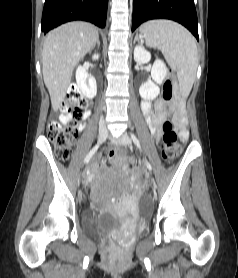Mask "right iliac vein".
<instances>
[{"label":"right iliac vein","instance_id":"1","mask_svg":"<svg viewBox=\"0 0 238 278\" xmlns=\"http://www.w3.org/2000/svg\"><path fill=\"white\" fill-rule=\"evenodd\" d=\"M107 135H108L107 128L105 126H101L99 128V132H98V144L103 143L106 140ZM80 178H81V175H78V177L76 179L77 189H80Z\"/></svg>","mask_w":238,"mask_h":278}]
</instances>
